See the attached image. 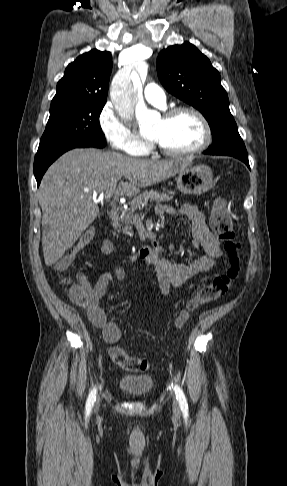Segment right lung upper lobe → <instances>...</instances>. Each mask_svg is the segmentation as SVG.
<instances>
[{
    "mask_svg": "<svg viewBox=\"0 0 287 486\" xmlns=\"http://www.w3.org/2000/svg\"><path fill=\"white\" fill-rule=\"evenodd\" d=\"M112 70L110 52L93 49L70 63L57 84L51 107L81 101H106Z\"/></svg>",
    "mask_w": 287,
    "mask_h": 486,
    "instance_id": "obj_1",
    "label": "right lung upper lobe"
}]
</instances>
